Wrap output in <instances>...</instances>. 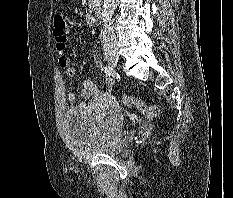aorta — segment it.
Returning <instances> with one entry per match:
<instances>
[{
	"mask_svg": "<svg viewBox=\"0 0 233 198\" xmlns=\"http://www.w3.org/2000/svg\"><path fill=\"white\" fill-rule=\"evenodd\" d=\"M114 9H115V0H104V6L102 11L103 19L111 18Z\"/></svg>",
	"mask_w": 233,
	"mask_h": 198,
	"instance_id": "aorta-1",
	"label": "aorta"
}]
</instances>
